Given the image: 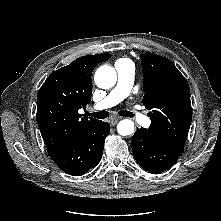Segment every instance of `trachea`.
Returning <instances> with one entry per match:
<instances>
[{
  "mask_svg": "<svg viewBox=\"0 0 221 221\" xmlns=\"http://www.w3.org/2000/svg\"><path fill=\"white\" fill-rule=\"evenodd\" d=\"M118 114L120 116H124V117H132V113L129 111H119ZM86 115L97 118V119H104L107 118L109 116V112L108 111H99V112H94V113H86Z\"/></svg>",
  "mask_w": 221,
  "mask_h": 221,
  "instance_id": "trachea-1",
  "label": "trachea"
}]
</instances>
